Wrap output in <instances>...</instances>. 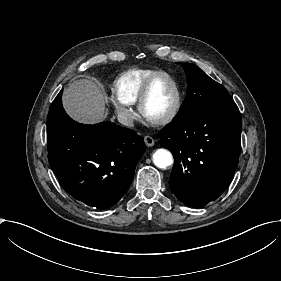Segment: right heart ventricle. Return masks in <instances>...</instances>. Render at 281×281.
<instances>
[{"instance_id": "obj_1", "label": "right heart ventricle", "mask_w": 281, "mask_h": 281, "mask_svg": "<svg viewBox=\"0 0 281 281\" xmlns=\"http://www.w3.org/2000/svg\"><path fill=\"white\" fill-rule=\"evenodd\" d=\"M167 73L162 69L138 68L120 74L113 82V91L127 105L137 102L146 82L155 75Z\"/></svg>"}]
</instances>
